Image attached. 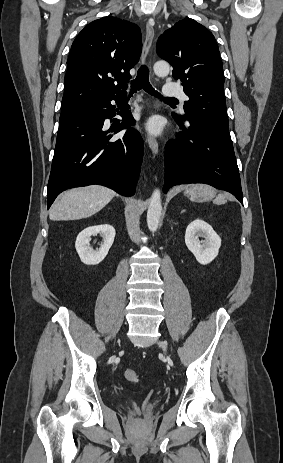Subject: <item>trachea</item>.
Returning <instances> with one entry per match:
<instances>
[{
  "label": "trachea",
  "mask_w": 283,
  "mask_h": 463,
  "mask_svg": "<svg viewBox=\"0 0 283 463\" xmlns=\"http://www.w3.org/2000/svg\"><path fill=\"white\" fill-rule=\"evenodd\" d=\"M140 89H144L147 93L158 98H163V96L151 86L149 82V70L146 66H141L138 70L136 79L131 82L130 93H134ZM164 100L176 101L174 98H164Z\"/></svg>",
  "instance_id": "3493384b"
}]
</instances>
